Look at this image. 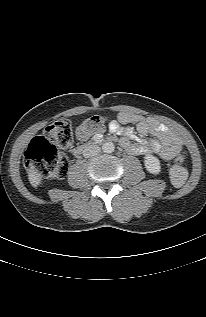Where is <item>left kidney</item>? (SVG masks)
I'll use <instances>...</instances> for the list:
<instances>
[{
  "label": "left kidney",
  "mask_w": 206,
  "mask_h": 317,
  "mask_svg": "<svg viewBox=\"0 0 206 317\" xmlns=\"http://www.w3.org/2000/svg\"><path fill=\"white\" fill-rule=\"evenodd\" d=\"M144 163L148 172L155 175L160 173L161 171L160 160L157 157L153 155H146Z\"/></svg>",
  "instance_id": "5707ae66"
}]
</instances>
